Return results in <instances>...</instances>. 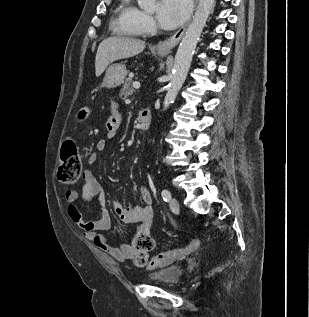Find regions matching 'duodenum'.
Listing matches in <instances>:
<instances>
[{
	"mask_svg": "<svg viewBox=\"0 0 309 317\" xmlns=\"http://www.w3.org/2000/svg\"><path fill=\"white\" fill-rule=\"evenodd\" d=\"M151 123V112L149 109L144 108L139 112L138 127L140 130H147Z\"/></svg>",
	"mask_w": 309,
	"mask_h": 317,
	"instance_id": "duodenum-1",
	"label": "duodenum"
}]
</instances>
